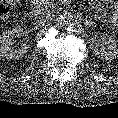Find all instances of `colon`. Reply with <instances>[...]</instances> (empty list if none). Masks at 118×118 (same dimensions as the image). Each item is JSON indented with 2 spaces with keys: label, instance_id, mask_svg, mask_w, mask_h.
I'll return each instance as SVG.
<instances>
[{
  "label": "colon",
  "instance_id": "5ec220e1",
  "mask_svg": "<svg viewBox=\"0 0 118 118\" xmlns=\"http://www.w3.org/2000/svg\"><path fill=\"white\" fill-rule=\"evenodd\" d=\"M15 0H0V18L7 16Z\"/></svg>",
  "mask_w": 118,
  "mask_h": 118
}]
</instances>
